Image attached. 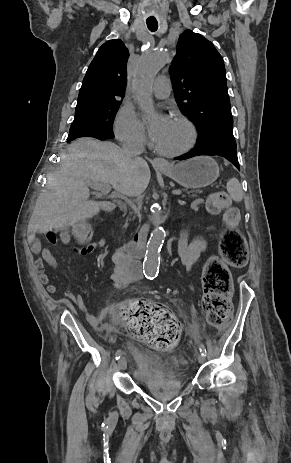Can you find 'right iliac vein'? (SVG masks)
I'll list each match as a JSON object with an SVG mask.
<instances>
[{
	"instance_id": "63e3f726",
	"label": "right iliac vein",
	"mask_w": 291,
	"mask_h": 463,
	"mask_svg": "<svg viewBox=\"0 0 291 463\" xmlns=\"http://www.w3.org/2000/svg\"><path fill=\"white\" fill-rule=\"evenodd\" d=\"M118 367L120 370L124 371L127 368V361L124 356H122L118 361Z\"/></svg>"
}]
</instances>
